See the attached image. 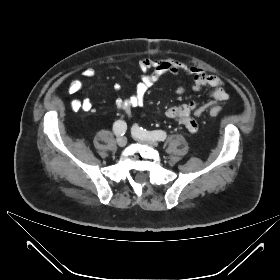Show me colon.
<instances>
[{
	"label": "colon",
	"mask_w": 280,
	"mask_h": 280,
	"mask_svg": "<svg viewBox=\"0 0 280 280\" xmlns=\"http://www.w3.org/2000/svg\"><path fill=\"white\" fill-rule=\"evenodd\" d=\"M209 113L211 116H218L220 114V110L218 108H211Z\"/></svg>",
	"instance_id": "1"
}]
</instances>
